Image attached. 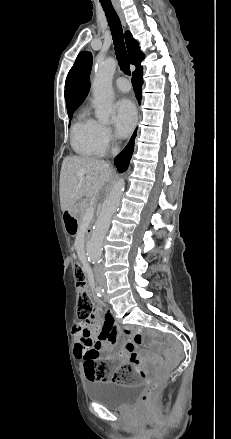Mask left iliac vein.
<instances>
[{"label":"left iliac vein","mask_w":231,"mask_h":439,"mask_svg":"<svg viewBox=\"0 0 231 439\" xmlns=\"http://www.w3.org/2000/svg\"><path fill=\"white\" fill-rule=\"evenodd\" d=\"M103 287L106 289V284L105 283H103ZM105 300H107V298L105 297Z\"/></svg>","instance_id":"left-iliac-vein-1"}]
</instances>
